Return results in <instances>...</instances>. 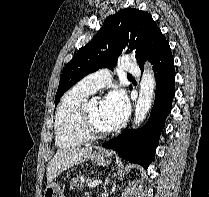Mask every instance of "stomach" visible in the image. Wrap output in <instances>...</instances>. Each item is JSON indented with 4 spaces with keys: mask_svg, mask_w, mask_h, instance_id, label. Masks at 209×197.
<instances>
[{
    "mask_svg": "<svg viewBox=\"0 0 209 197\" xmlns=\"http://www.w3.org/2000/svg\"><path fill=\"white\" fill-rule=\"evenodd\" d=\"M91 162L99 166H108L111 162L110 154L108 151L101 149L95 151L91 156ZM43 197H64V194L57 183L51 182L47 185Z\"/></svg>",
    "mask_w": 209,
    "mask_h": 197,
    "instance_id": "obj_1",
    "label": "stomach"
}]
</instances>
